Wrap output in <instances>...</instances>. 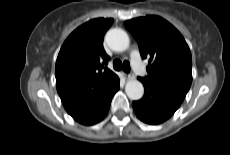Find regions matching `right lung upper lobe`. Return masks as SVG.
Returning a JSON list of instances; mask_svg holds the SVG:
<instances>
[{"mask_svg": "<svg viewBox=\"0 0 230 155\" xmlns=\"http://www.w3.org/2000/svg\"><path fill=\"white\" fill-rule=\"evenodd\" d=\"M97 18L74 30L63 43L56 61V87L66 111L72 115L101 101L118 76L109 70L103 38L113 23Z\"/></svg>", "mask_w": 230, "mask_h": 155, "instance_id": "cb5924a9", "label": "right lung upper lobe"}]
</instances>
